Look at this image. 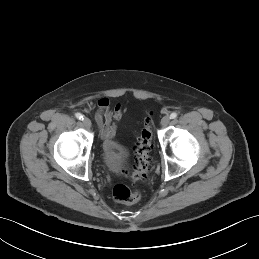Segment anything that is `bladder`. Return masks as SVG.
<instances>
[{
	"label": "bladder",
	"mask_w": 259,
	"mask_h": 259,
	"mask_svg": "<svg viewBox=\"0 0 259 259\" xmlns=\"http://www.w3.org/2000/svg\"><path fill=\"white\" fill-rule=\"evenodd\" d=\"M125 159L126 149L120 142L116 140L104 141L102 146V160L110 172L120 173Z\"/></svg>",
	"instance_id": "bladder-1"
}]
</instances>
